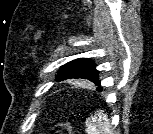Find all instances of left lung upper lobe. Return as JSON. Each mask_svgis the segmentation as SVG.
Listing matches in <instances>:
<instances>
[{
  "label": "left lung upper lobe",
  "instance_id": "obj_1",
  "mask_svg": "<svg viewBox=\"0 0 153 134\" xmlns=\"http://www.w3.org/2000/svg\"><path fill=\"white\" fill-rule=\"evenodd\" d=\"M87 79L95 83V85L100 87V82L98 79V72L95 69L94 63L85 58H80L73 60L65 64L57 75V81H63L66 79Z\"/></svg>",
  "mask_w": 153,
  "mask_h": 134
}]
</instances>
